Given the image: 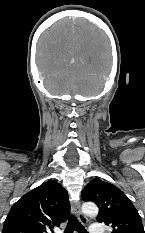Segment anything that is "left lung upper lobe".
Instances as JSON below:
<instances>
[{
    "label": "left lung upper lobe",
    "instance_id": "left-lung-upper-lobe-1",
    "mask_svg": "<svg viewBox=\"0 0 145 233\" xmlns=\"http://www.w3.org/2000/svg\"><path fill=\"white\" fill-rule=\"evenodd\" d=\"M82 198L98 205L97 221L111 226V233H145L138 211L115 185L94 179L83 189Z\"/></svg>",
    "mask_w": 145,
    "mask_h": 233
}]
</instances>
